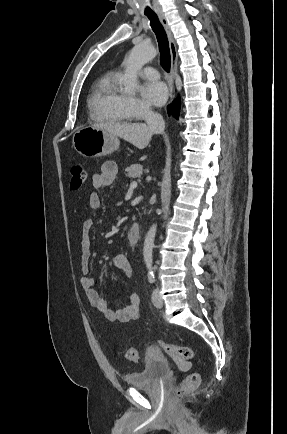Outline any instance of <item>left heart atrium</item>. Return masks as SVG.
Wrapping results in <instances>:
<instances>
[{
  "label": "left heart atrium",
  "instance_id": "left-heart-atrium-1",
  "mask_svg": "<svg viewBox=\"0 0 287 434\" xmlns=\"http://www.w3.org/2000/svg\"><path fill=\"white\" fill-rule=\"evenodd\" d=\"M142 97L151 105L161 106L168 97V90L164 83L155 81L141 87Z\"/></svg>",
  "mask_w": 287,
  "mask_h": 434
}]
</instances>
